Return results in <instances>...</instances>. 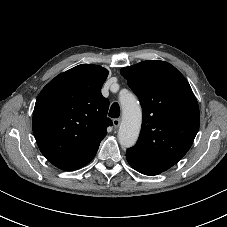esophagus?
Here are the masks:
<instances>
[{"mask_svg": "<svg viewBox=\"0 0 227 227\" xmlns=\"http://www.w3.org/2000/svg\"><path fill=\"white\" fill-rule=\"evenodd\" d=\"M120 123H121V119L120 118H117V119L113 120V125H114L115 128H118L120 126Z\"/></svg>", "mask_w": 227, "mask_h": 227, "instance_id": "esophagus-1", "label": "esophagus"}]
</instances>
